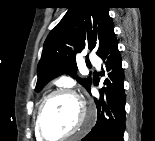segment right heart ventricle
<instances>
[{"label":"right heart ventricle","mask_w":155,"mask_h":141,"mask_svg":"<svg viewBox=\"0 0 155 141\" xmlns=\"http://www.w3.org/2000/svg\"><path fill=\"white\" fill-rule=\"evenodd\" d=\"M36 138L39 140L40 138H39V136H38V134H37V132H36Z\"/></svg>","instance_id":"obj_1"}]
</instances>
